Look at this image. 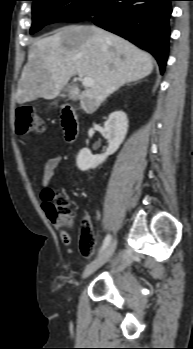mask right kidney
Returning a JSON list of instances; mask_svg holds the SVG:
<instances>
[{"mask_svg":"<svg viewBox=\"0 0 193 349\" xmlns=\"http://www.w3.org/2000/svg\"><path fill=\"white\" fill-rule=\"evenodd\" d=\"M104 130L109 143L106 152L103 155H92L87 148L81 149L76 159L77 167L81 171L96 168L118 150L128 131L127 115L123 111L111 113L104 123Z\"/></svg>","mask_w":193,"mask_h":349,"instance_id":"right-kidney-1","label":"right kidney"}]
</instances>
